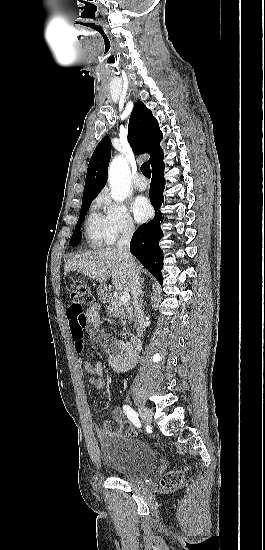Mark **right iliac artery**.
Returning a JSON list of instances; mask_svg holds the SVG:
<instances>
[{
	"mask_svg": "<svg viewBox=\"0 0 265 550\" xmlns=\"http://www.w3.org/2000/svg\"><path fill=\"white\" fill-rule=\"evenodd\" d=\"M124 413L127 415L129 420L137 427H141L140 420L138 418V414L128 405L123 406Z\"/></svg>",
	"mask_w": 265,
	"mask_h": 550,
	"instance_id": "82829eb1",
	"label": "right iliac artery"
}]
</instances>
